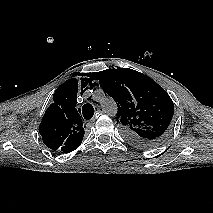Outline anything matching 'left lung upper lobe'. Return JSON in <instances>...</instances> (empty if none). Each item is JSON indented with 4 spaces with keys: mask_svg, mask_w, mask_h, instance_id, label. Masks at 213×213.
<instances>
[{
    "mask_svg": "<svg viewBox=\"0 0 213 213\" xmlns=\"http://www.w3.org/2000/svg\"><path fill=\"white\" fill-rule=\"evenodd\" d=\"M98 75L105 94L116 101L117 123L132 144L153 147L167 138L174 104L159 84L129 68L112 67Z\"/></svg>",
    "mask_w": 213,
    "mask_h": 213,
    "instance_id": "1",
    "label": "left lung upper lobe"
}]
</instances>
